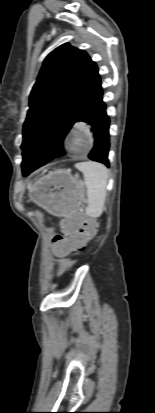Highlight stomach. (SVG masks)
Listing matches in <instances>:
<instances>
[{"label": "stomach", "mask_w": 155, "mask_h": 413, "mask_svg": "<svg viewBox=\"0 0 155 413\" xmlns=\"http://www.w3.org/2000/svg\"><path fill=\"white\" fill-rule=\"evenodd\" d=\"M85 187L66 170H55L31 184L30 197L49 213L63 217L80 209Z\"/></svg>", "instance_id": "1"}]
</instances>
